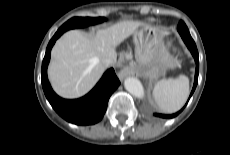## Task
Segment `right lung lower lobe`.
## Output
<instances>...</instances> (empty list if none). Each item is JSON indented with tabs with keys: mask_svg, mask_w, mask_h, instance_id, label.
<instances>
[{
	"mask_svg": "<svg viewBox=\"0 0 230 155\" xmlns=\"http://www.w3.org/2000/svg\"><path fill=\"white\" fill-rule=\"evenodd\" d=\"M62 34L57 31L50 40L42 62L41 82L45 96L54 110L66 121L77 125L95 124L104 116L108 100L120 82L111 68L105 72L97 85L84 97L75 100H66L57 96L48 81L47 66L52 46Z\"/></svg>",
	"mask_w": 230,
	"mask_h": 155,
	"instance_id": "1",
	"label": "right lung lower lobe"
}]
</instances>
